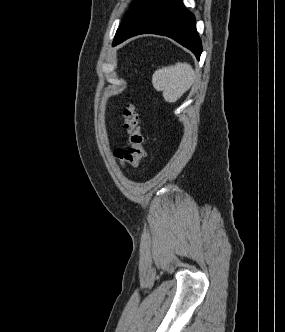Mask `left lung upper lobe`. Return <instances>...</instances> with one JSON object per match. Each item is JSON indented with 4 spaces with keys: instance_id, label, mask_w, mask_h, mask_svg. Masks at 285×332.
<instances>
[{
    "instance_id": "5c2ea615",
    "label": "left lung upper lobe",
    "mask_w": 285,
    "mask_h": 332,
    "mask_svg": "<svg viewBox=\"0 0 285 332\" xmlns=\"http://www.w3.org/2000/svg\"><path fill=\"white\" fill-rule=\"evenodd\" d=\"M151 2V0H136L125 14L120 28L117 30L115 38L119 36L128 25L139 15V13Z\"/></svg>"
}]
</instances>
